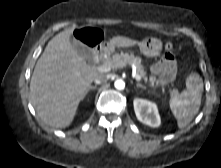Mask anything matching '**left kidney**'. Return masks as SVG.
I'll return each mask as SVG.
<instances>
[{
	"mask_svg": "<svg viewBox=\"0 0 221 168\" xmlns=\"http://www.w3.org/2000/svg\"><path fill=\"white\" fill-rule=\"evenodd\" d=\"M133 105L136 117L140 122L153 128L160 126L161 119L155 103L145 99L135 98Z\"/></svg>",
	"mask_w": 221,
	"mask_h": 168,
	"instance_id": "5707ae66",
	"label": "left kidney"
}]
</instances>
